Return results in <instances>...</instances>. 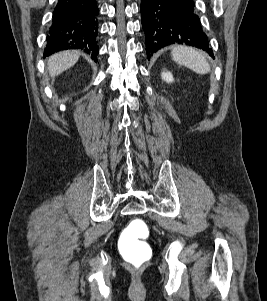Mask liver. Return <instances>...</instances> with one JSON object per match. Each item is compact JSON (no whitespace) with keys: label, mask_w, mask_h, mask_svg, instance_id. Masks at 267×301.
I'll return each instance as SVG.
<instances>
[{"label":"liver","mask_w":267,"mask_h":301,"mask_svg":"<svg viewBox=\"0 0 267 301\" xmlns=\"http://www.w3.org/2000/svg\"><path fill=\"white\" fill-rule=\"evenodd\" d=\"M79 59L77 51H61L51 55L48 59L47 66L51 78H55L62 72L71 68Z\"/></svg>","instance_id":"obj_1"}]
</instances>
